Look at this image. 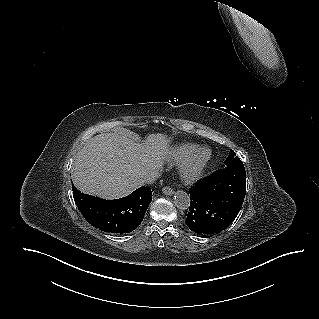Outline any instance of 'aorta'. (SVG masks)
Returning a JSON list of instances; mask_svg holds the SVG:
<instances>
[{
  "instance_id": "obj_1",
  "label": "aorta",
  "mask_w": 319,
  "mask_h": 319,
  "mask_svg": "<svg viewBox=\"0 0 319 319\" xmlns=\"http://www.w3.org/2000/svg\"><path fill=\"white\" fill-rule=\"evenodd\" d=\"M174 202L177 208L184 210L190 206V197L185 191H177Z\"/></svg>"
}]
</instances>
